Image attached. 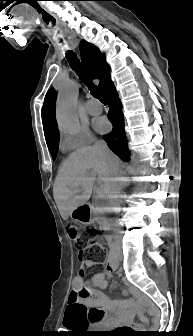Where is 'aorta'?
Instances as JSON below:
<instances>
[{
    "mask_svg": "<svg viewBox=\"0 0 193 336\" xmlns=\"http://www.w3.org/2000/svg\"><path fill=\"white\" fill-rule=\"evenodd\" d=\"M78 92V86L74 81L68 80L61 83L56 103V119L63 132H72L79 128L76 110Z\"/></svg>",
    "mask_w": 193,
    "mask_h": 336,
    "instance_id": "762f6f07",
    "label": "aorta"
}]
</instances>
